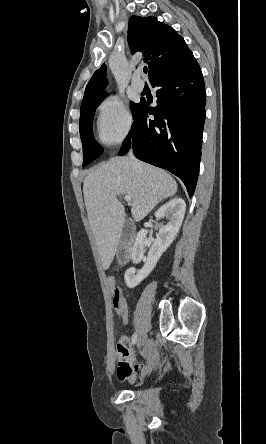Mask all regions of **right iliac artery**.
Wrapping results in <instances>:
<instances>
[{
  "label": "right iliac artery",
  "mask_w": 266,
  "mask_h": 444,
  "mask_svg": "<svg viewBox=\"0 0 266 444\" xmlns=\"http://www.w3.org/2000/svg\"><path fill=\"white\" fill-rule=\"evenodd\" d=\"M137 337H138V335H137V333L135 332L133 335H132V345H134L135 343H136V341H137Z\"/></svg>",
  "instance_id": "right-iliac-artery-1"
}]
</instances>
